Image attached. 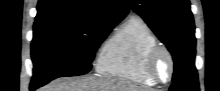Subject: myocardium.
Here are the masks:
<instances>
[{
	"label": "myocardium",
	"instance_id": "obj_1",
	"mask_svg": "<svg viewBox=\"0 0 220 91\" xmlns=\"http://www.w3.org/2000/svg\"><path fill=\"white\" fill-rule=\"evenodd\" d=\"M161 56H165L169 63V74L166 79H162L157 72V61ZM144 70L147 76L159 84L169 83L174 75L175 63L172 53L164 46H154L146 55L144 60Z\"/></svg>",
	"mask_w": 220,
	"mask_h": 91
}]
</instances>
